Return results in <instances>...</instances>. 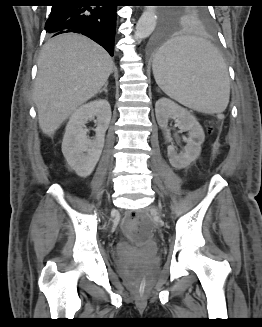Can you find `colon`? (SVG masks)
Listing matches in <instances>:
<instances>
[{
  "label": "colon",
  "instance_id": "1",
  "mask_svg": "<svg viewBox=\"0 0 262 327\" xmlns=\"http://www.w3.org/2000/svg\"><path fill=\"white\" fill-rule=\"evenodd\" d=\"M125 229L129 236L137 242L148 241L154 231L153 223L149 217L145 214L136 213H132L127 217Z\"/></svg>",
  "mask_w": 262,
  "mask_h": 327
}]
</instances>
